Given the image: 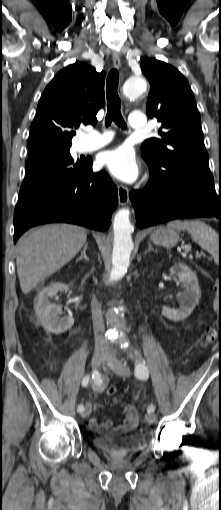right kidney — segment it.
<instances>
[{
  "instance_id": "1",
  "label": "right kidney",
  "mask_w": 221,
  "mask_h": 510,
  "mask_svg": "<svg viewBox=\"0 0 221 510\" xmlns=\"http://www.w3.org/2000/svg\"><path fill=\"white\" fill-rule=\"evenodd\" d=\"M60 290L68 291L69 286L64 283H52L48 287L41 289L34 300L36 317L47 331L55 334L65 332L74 324L72 315L60 317L63 313L60 306L51 304L49 301Z\"/></svg>"
}]
</instances>
